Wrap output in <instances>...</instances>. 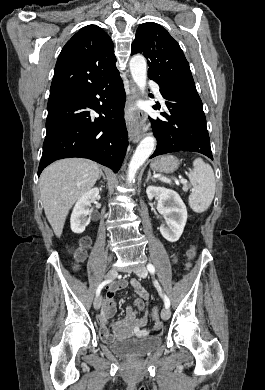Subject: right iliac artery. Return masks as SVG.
I'll return each instance as SVG.
<instances>
[{"instance_id":"1","label":"right iliac artery","mask_w":265,"mask_h":390,"mask_svg":"<svg viewBox=\"0 0 265 390\" xmlns=\"http://www.w3.org/2000/svg\"><path fill=\"white\" fill-rule=\"evenodd\" d=\"M111 281H112V280H105V281H103V282L97 287V289H96V296H98V295L100 294L102 288H103L105 285L109 284Z\"/></svg>"}]
</instances>
